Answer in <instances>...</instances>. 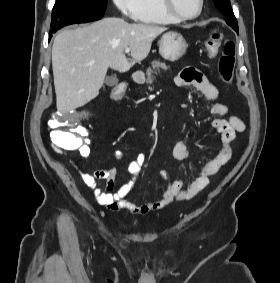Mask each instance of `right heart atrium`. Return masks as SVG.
<instances>
[{"label":"right heart atrium","instance_id":"d8ad5b80","mask_svg":"<svg viewBox=\"0 0 280 283\" xmlns=\"http://www.w3.org/2000/svg\"><path fill=\"white\" fill-rule=\"evenodd\" d=\"M113 2L123 17L135 18L139 8V0H113Z\"/></svg>","mask_w":280,"mask_h":283}]
</instances>
